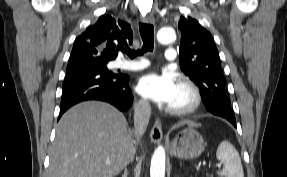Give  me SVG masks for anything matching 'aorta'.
Returning <instances> with one entry per match:
<instances>
[{"label": "aorta", "instance_id": "1", "mask_svg": "<svg viewBox=\"0 0 287 177\" xmlns=\"http://www.w3.org/2000/svg\"><path fill=\"white\" fill-rule=\"evenodd\" d=\"M175 31L172 28H162L157 33V40L167 44L175 39ZM166 154L163 146H158L151 159L150 177H165Z\"/></svg>", "mask_w": 287, "mask_h": 177}]
</instances>
